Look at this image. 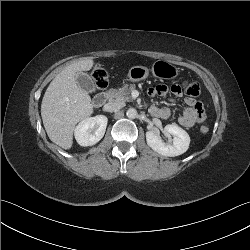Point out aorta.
I'll return each instance as SVG.
<instances>
[{
	"label": "aorta",
	"mask_w": 250,
	"mask_h": 250,
	"mask_svg": "<svg viewBox=\"0 0 250 250\" xmlns=\"http://www.w3.org/2000/svg\"><path fill=\"white\" fill-rule=\"evenodd\" d=\"M126 115L128 118L130 119H134L137 117L138 113H137V110L134 109V108H129L126 112Z\"/></svg>",
	"instance_id": "obj_1"
}]
</instances>
